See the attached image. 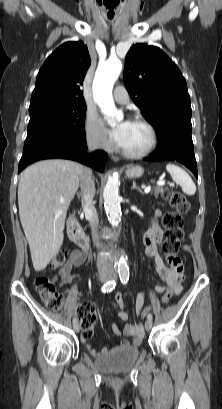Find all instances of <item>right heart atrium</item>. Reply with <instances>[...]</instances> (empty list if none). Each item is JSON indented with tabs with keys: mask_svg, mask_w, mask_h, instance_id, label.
Here are the masks:
<instances>
[{
	"mask_svg": "<svg viewBox=\"0 0 222 409\" xmlns=\"http://www.w3.org/2000/svg\"><path fill=\"white\" fill-rule=\"evenodd\" d=\"M85 135L87 142L94 148L109 150L111 142L100 124L98 117L93 112H87L85 120Z\"/></svg>",
	"mask_w": 222,
	"mask_h": 409,
	"instance_id": "d8ad5b80",
	"label": "right heart atrium"
}]
</instances>
